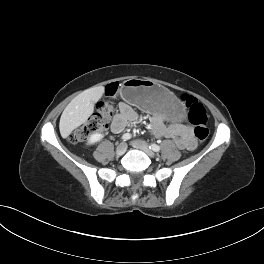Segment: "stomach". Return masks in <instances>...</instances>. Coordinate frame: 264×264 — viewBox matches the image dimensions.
I'll return each instance as SVG.
<instances>
[{"instance_id": "1", "label": "stomach", "mask_w": 264, "mask_h": 264, "mask_svg": "<svg viewBox=\"0 0 264 264\" xmlns=\"http://www.w3.org/2000/svg\"><path fill=\"white\" fill-rule=\"evenodd\" d=\"M121 95L125 101L149 111L180 120L184 110L176 96L165 87L148 79L131 78L123 83Z\"/></svg>"}]
</instances>
